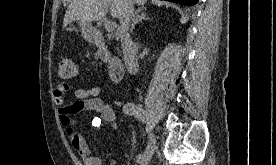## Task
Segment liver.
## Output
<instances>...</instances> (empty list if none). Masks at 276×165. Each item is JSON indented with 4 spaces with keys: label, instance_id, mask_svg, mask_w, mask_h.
Returning <instances> with one entry per match:
<instances>
[{
    "label": "liver",
    "instance_id": "6515ba94",
    "mask_svg": "<svg viewBox=\"0 0 276 165\" xmlns=\"http://www.w3.org/2000/svg\"><path fill=\"white\" fill-rule=\"evenodd\" d=\"M138 5H144L147 0H133ZM110 6L111 16L120 19L123 11L124 0H72L68 6L63 27L73 21L94 22L102 20Z\"/></svg>",
    "mask_w": 276,
    "mask_h": 165
}]
</instances>
